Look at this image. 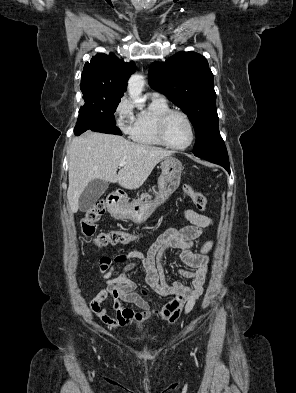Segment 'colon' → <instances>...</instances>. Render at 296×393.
<instances>
[{
    "mask_svg": "<svg viewBox=\"0 0 296 393\" xmlns=\"http://www.w3.org/2000/svg\"><path fill=\"white\" fill-rule=\"evenodd\" d=\"M185 193L191 198L193 204L198 210H204L206 206V197L197 191H194L190 186L184 187ZM105 213V202L98 201L81 220V232L83 236L93 242L98 247H105L109 245L126 244L133 240V236L127 232L120 230H111L97 233V222Z\"/></svg>",
    "mask_w": 296,
    "mask_h": 393,
    "instance_id": "1",
    "label": "colon"
}]
</instances>
